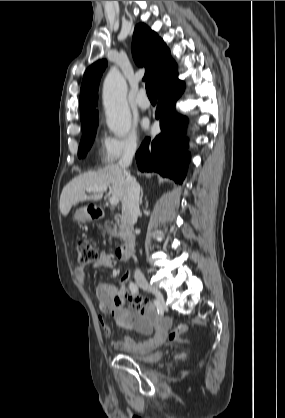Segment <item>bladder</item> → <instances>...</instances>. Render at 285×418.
I'll use <instances>...</instances> for the list:
<instances>
[{"instance_id": "1", "label": "bladder", "mask_w": 285, "mask_h": 418, "mask_svg": "<svg viewBox=\"0 0 285 418\" xmlns=\"http://www.w3.org/2000/svg\"><path fill=\"white\" fill-rule=\"evenodd\" d=\"M128 357L141 363L156 362L162 358V352L158 350H146L142 352H129Z\"/></svg>"}]
</instances>
